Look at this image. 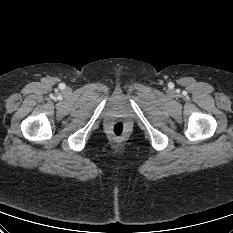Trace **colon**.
<instances>
[{"label":"colon","instance_id":"5ec220e1","mask_svg":"<svg viewBox=\"0 0 233 233\" xmlns=\"http://www.w3.org/2000/svg\"><path fill=\"white\" fill-rule=\"evenodd\" d=\"M111 132L116 137H122L126 132V125L121 122H115L111 127Z\"/></svg>","mask_w":233,"mask_h":233}]
</instances>
